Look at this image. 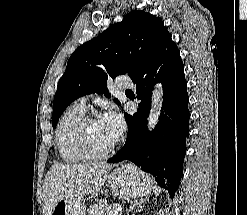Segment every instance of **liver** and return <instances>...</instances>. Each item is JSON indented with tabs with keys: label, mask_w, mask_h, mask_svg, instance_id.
<instances>
[{
	"label": "liver",
	"mask_w": 247,
	"mask_h": 215,
	"mask_svg": "<svg viewBox=\"0 0 247 215\" xmlns=\"http://www.w3.org/2000/svg\"><path fill=\"white\" fill-rule=\"evenodd\" d=\"M112 167L104 162L53 164L44 179L43 215H51L63 198H82L98 191Z\"/></svg>",
	"instance_id": "liver-1"
}]
</instances>
